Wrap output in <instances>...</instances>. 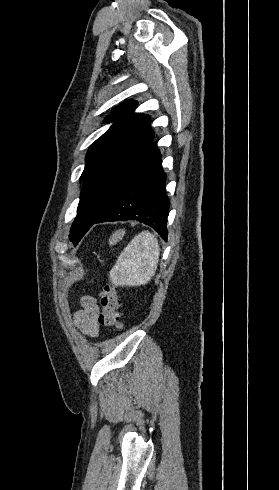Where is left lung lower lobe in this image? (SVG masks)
<instances>
[{
  "label": "left lung lower lobe",
  "instance_id": "obj_1",
  "mask_svg": "<svg viewBox=\"0 0 279 490\" xmlns=\"http://www.w3.org/2000/svg\"><path fill=\"white\" fill-rule=\"evenodd\" d=\"M160 151L151 143L119 189L110 209L96 223L136 220L151 226L167 240L170 203Z\"/></svg>",
  "mask_w": 279,
  "mask_h": 490
}]
</instances>
